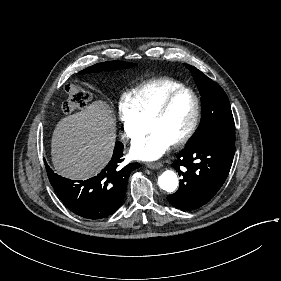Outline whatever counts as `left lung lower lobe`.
<instances>
[{"label":"left lung lower lobe","mask_w":281,"mask_h":281,"mask_svg":"<svg viewBox=\"0 0 281 281\" xmlns=\"http://www.w3.org/2000/svg\"><path fill=\"white\" fill-rule=\"evenodd\" d=\"M234 152L235 144L213 138L187 144L172 164L183 179L167 200L181 210H194L208 203L227 178Z\"/></svg>","instance_id":"1"}]
</instances>
